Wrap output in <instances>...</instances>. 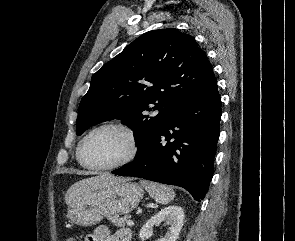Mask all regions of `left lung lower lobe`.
<instances>
[{"mask_svg":"<svg viewBox=\"0 0 295 241\" xmlns=\"http://www.w3.org/2000/svg\"><path fill=\"white\" fill-rule=\"evenodd\" d=\"M221 114L215 81L178 108L131 163L112 173L180 186L200 201L213 175Z\"/></svg>","mask_w":295,"mask_h":241,"instance_id":"obj_1","label":"left lung lower lobe"}]
</instances>
